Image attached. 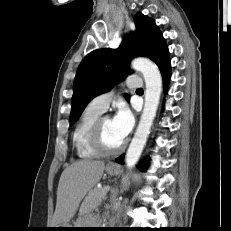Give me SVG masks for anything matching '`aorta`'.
<instances>
[{"mask_svg":"<svg viewBox=\"0 0 231 231\" xmlns=\"http://www.w3.org/2000/svg\"><path fill=\"white\" fill-rule=\"evenodd\" d=\"M131 68L140 71L146 83L143 112L126 153L125 163L132 168L138 162L150 133L162 92V77L158 67L147 58H136Z\"/></svg>","mask_w":231,"mask_h":231,"instance_id":"1","label":"aorta"}]
</instances>
